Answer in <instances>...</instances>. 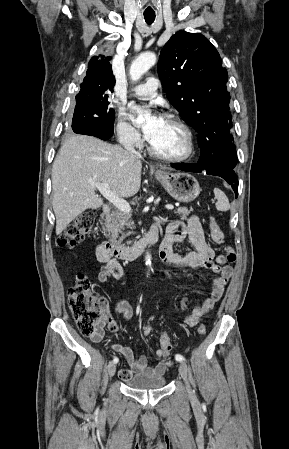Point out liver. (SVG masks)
I'll return each mask as SVG.
<instances>
[{
  "mask_svg": "<svg viewBox=\"0 0 289 449\" xmlns=\"http://www.w3.org/2000/svg\"><path fill=\"white\" fill-rule=\"evenodd\" d=\"M141 170V159L120 146L92 136H70L52 166L56 235L85 210L103 205L92 182L108 184L119 197H131L140 189Z\"/></svg>",
  "mask_w": 289,
  "mask_h": 449,
  "instance_id": "1",
  "label": "liver"
}]
</instances>
